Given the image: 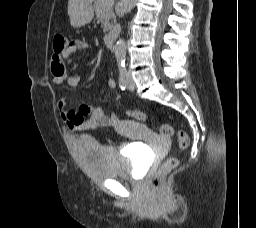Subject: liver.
<instances>
[{
  "label": "liver",
  "instance_id": "liver-1",
  "mask_svg": "<svg viewBox=\"0 0 256 228\" xmlns=\"http://www.w3.org/2000/svg\"><path fill=\"white\" fill-rule=\"evenodd\" d=\"M93 0H69L68 15L72 16L78 9L89 5Z\"/></svg>",
  "mask_w": 256,
  "mask_h": 228
}]
</instances>
